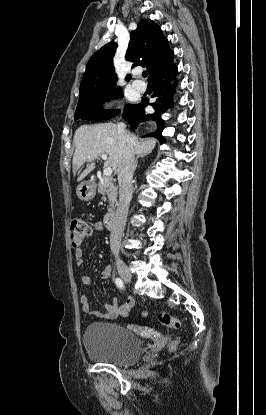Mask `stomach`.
Returning <instances> with one entry per match:
<instances>
[{
	"label": "stomach",
	"mask_w": 266,
	"mask_h": 415,
	"mask_svg": "<svg viewBox=\"0 0 266 415\" xmlns=\"http://www.w3.org/2000/svg\"><path fill=\"white\" fill-rule=\"evenodd\" d=\"M76 193L80 200L90 201L96 195V186L91 181H84L78 185Z\"/></svg>",
	"instance_id": "0dacf381"
}]
</instances>
